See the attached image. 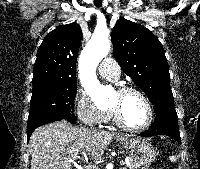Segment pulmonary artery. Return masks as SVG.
<instances>
[{
    "label": "pulmonary artery",
    "instance_id": "e3ab8cb5",
    "mask_svg": "<svg viewBox=\"0 0 200 169\" xmlns=\"http://www.w3.org/2000/svg\"><path fill=\"white\" fill-rule=\"evenodd\" d=\"M99 74L108 80H118L120 75V67L118 63L112 58H105L101 61Z\"/></svg>",
    "mask_w": 200,
    "mask_h": 169
}]
</instances>
